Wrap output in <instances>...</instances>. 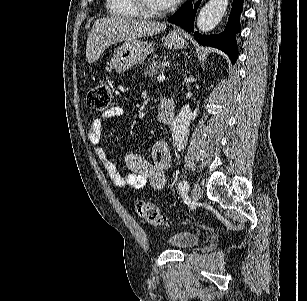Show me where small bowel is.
Segmentation results:
<instances>
[{"label": "small bowel", "mask_w": 307, "mask_h": 301, "mask_svg": "<svg viewBox=\"0 0 307 301\" xmlns=\"http://www.w3.org/2000/svg\"><path fill=\"white\" fill-rule=\"evenodd\" d=\"M122 114L123 109L121 107L113 106L101 116L94 118L88 131L89 142L95 145L99 144L105 120L120 117ZM95 154L113 184L119 188L141 189L149 185L155 190H160L166 184L165 171L171 164V155L167 144L164 142H159L154 146L152 163L139 154H126L125 164L129 170L125 173L118 171L103 147H97Z\"/></svg>", "instance_id": "c3829d8e"}]
</instances>
